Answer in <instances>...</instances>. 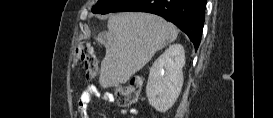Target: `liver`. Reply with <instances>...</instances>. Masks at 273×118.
Wrapping results in <instances>:
<instances>
[{
    "label": "liver",
    "mask_w": 273,
    "mask_h": 118,
    "mask_svg": "<svg viewBox=\"0 0 273 118\" xmlns=\"http://www.w3.org/2000/svg\"><path fill=\"white\" fill-rule=\"evenodd\" d=\"M106 55L99 83L103 88L126 83L158 51L174 42L177 28L163 18L143 12H123L108 19Z\"/></svg>",
    "instance_id": "6515ba94"
}]
</instances>
